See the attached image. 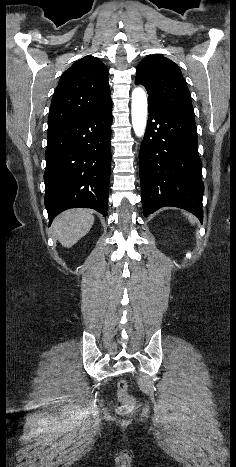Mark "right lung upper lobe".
I'll list each match as a JSON object with an SVG mask.
<instances>
[{"instance_id":"cb5924a9","label":"right lung upper lobe","mask_w":236,"mask_h":467,"mask_svg":"<svg viewBox=\"0 0 236 467\" xmlns=\"http://www.w3.org/2000/svg\"><path fill=\"white\" fill-rule=\"evenodd\" d=\"M110 101L107 68L98 58L85 56L61 76L50 106L48 129L79 119Z\"/></svg>"}]
</instances>
